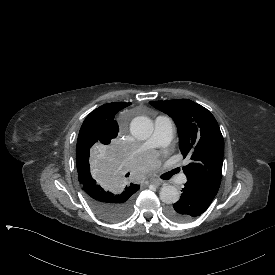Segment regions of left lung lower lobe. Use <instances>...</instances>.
<instances>
[{
  "label": "left lung lower lobe",
  "instance_id": "obj_1",
  "mask_svg": "<svg viewBox=\"0 0 275 275\" xmlns=\"http://www.w3.org/2000/svg\"><path fill=\"white\" fill-rule=\"evenodd\" d=\"M217 193L192 181H187L180 200L167 209V216L176 222H186L201 215Z\"/></svg>",
  "mask_w": 275,
  "mask_h": 275
}]
</instances>
